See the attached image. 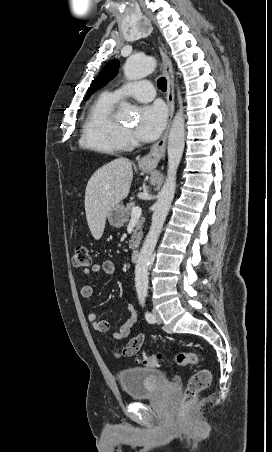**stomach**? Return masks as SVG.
Here are the masks:
<instances>
[{
    "instance_id": "stomach-1",
    "label": "stomach",
    "mask_w": 272,
    "mask_h": 452,
    "mask_svg": "<svg viewBox=\"0 0 272 452\" xmlns=\"http://www.w3.org/2000/svg\"><path fill=\"white\" fill-rule=\"evenodd\" d=\"M144 171H149L150 169L145 166H140ZM108 222L111 226L119 228L122 227L126 220L125 208L123 205L114 206L107 215Z\"/></svg>"
}]
</instances>
